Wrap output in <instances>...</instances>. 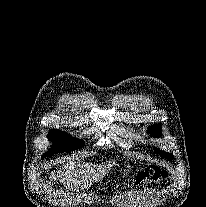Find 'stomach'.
<instances>
[{"mask_svg":"<svg viewBox=\"0 0 206 207\" xmlns=\"http://www.w3.org/2000/svg\"><path fill=\"white\" fill-rule=\"evenodd\" d=\"M132 168L133 167H131V166H127L122 172L124 174V176L128 175L132 171Z\"/></svg>","mask_w":206,"mask_h":207,"instance_id":"0dacf381","label":"stomach"}]
</instances>
